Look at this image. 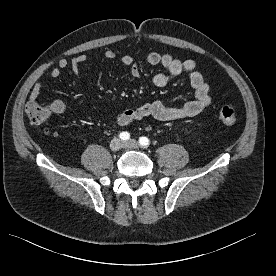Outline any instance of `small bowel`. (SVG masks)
<instances>
[{
  "label": "small bowel",
  "mask_w": 276,
  "mask_h": 276,
  "mask_svg": "<svg viewBox=\"0 0 276 276\" xmlns=\"http://www.w3.org/2000/svg\"><path fill=\"white\" fill-rule=\"evenodd\" d=\"M104 56L108 60H113L116 54L112 50H106ZM146 60L150 65H162L166 69V73H156L152 77V83L156 87H164L172 79L185 73L191 87L194 89V99L186 102L181 107H173L160 101L144 104L138 108L124 111L120 115L111 118V121L122 126L145 117H154L158 120L170 121L195 116L210 105L211 95L209 85L203 79L193 60L182 61L171 55H161L159 53L148 54ZM86 62L87 56L85 54H79L71 59L61 58L57 66L51 69L50 76L56 79L61 75L62 70L70 66L75 76L81 79V67ZM121 63L130 68V73L133 78L138 79L141 77V71L132 56L123 55L121 57ZM41 89V82L35 83L30 91V99L36 100L41 94ZM51 108L55 114H63L67 107L63 100L56 99L51 103Z\"/></svg>",
  "instance_id": "c3829d8e"
}]
</instances>
